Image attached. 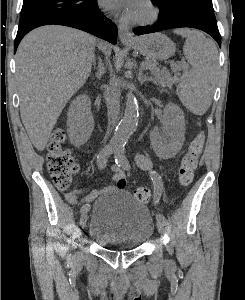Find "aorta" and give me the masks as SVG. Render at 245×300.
<instances>
[{"instance_id":"1","label":"aorta","mask_w":245,"mask_h":300,"mask_svg":"<svg viewBox=\"0 0 245 300\" xmlns=\"http://www.w3.org/2000/svg\"><path fill=\"white\" fill-rule=\"evenodd\" d=\"M138 116V101L135 95L130 91L126 96L124 116L118 124L115 134L111 140V147L113 149H123L131 134L136 130Z\"/></svg>"}]
</instances>
